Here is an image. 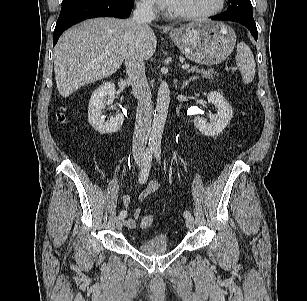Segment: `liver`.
<instances>
[{"label": "liver", "mask_w": 307, "mask_h": 301, "mask_svg": "<svg viewBox=\"0 0 307 301\" xmlns=\"http://www.w3.org/2000/svg\"><path fill=\"white\" fill-rule=\"evenodd\" d=\"M135 37L132 19L95 18L67 30L55 46L56 85L64 98L82 86L114 74ZM157 40L148 26L143 38V58L155 53Z\"/></svg>", "instance_id": "6515ba94"}]
</instances>
